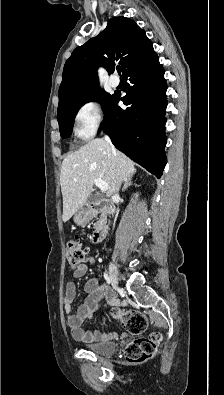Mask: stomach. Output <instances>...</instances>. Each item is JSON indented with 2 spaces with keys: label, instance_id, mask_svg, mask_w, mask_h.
<instances>
[{
  "label": "stomach",
  "instance_id": "stomach-1",
  "mask_svg": "<svg viewBox=\"0 0 224 395\" xmlns=\"http://www.w3.org/2000/svg\"><path fill=\"white\" fill-rule=\"evenodd\" d=\"M89 219H90L89 213L85 209H80L74 215V222L79 226H83L87 224Z\"/></svg>",
  "mask_w": 224,
  "mask_h": 395
}]
</instances>
